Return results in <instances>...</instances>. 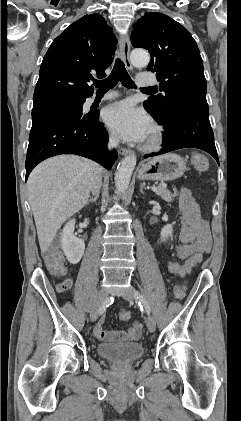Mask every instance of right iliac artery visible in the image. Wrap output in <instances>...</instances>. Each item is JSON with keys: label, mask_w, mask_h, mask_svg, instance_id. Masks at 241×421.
Here are the masks:
<instances>
[{"label": "right iliac artery", "mask_w": 241, "mask_h": 421, "mask_svg": "<svg viewBox=\"0 0 241 421\" xmlns=\"http://www.w3.org/2000/svg\"><path fill=\"white\" fill-rule=\"evenodd\" d=\"M112 303H113V298L106 299L99 310V315H101L106 310V308Z\"/></svg>", "instance_id": "right-iliac-artery-1"}]
</instances>
